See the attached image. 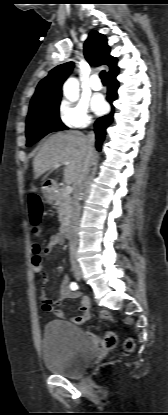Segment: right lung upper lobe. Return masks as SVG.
<instances>
[{
    "instance_id": "cb5924a9",
    "label": "right lung upper lobe",
    "mask_w": 168,
    "mask_h": 415,
    "mask_svg": "<svg viewBox=\"0 0 168 415\" xmlns=\"http://www.w3.org/2000/svg\"><path fill=\"white\" fill-rule=\"evenodd\" d=\"M84 55L91 66L107 65L108 75L118 71L117 58L110 55L107 39L98 31H91L84 44ZM73 62H67L53 68L42 79L30 102V110L58 101L62 95V84L72 72Z\"/></svg>"
}]
</instances>
